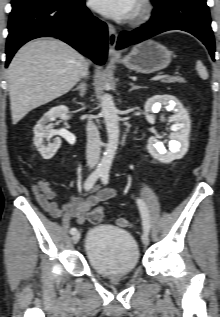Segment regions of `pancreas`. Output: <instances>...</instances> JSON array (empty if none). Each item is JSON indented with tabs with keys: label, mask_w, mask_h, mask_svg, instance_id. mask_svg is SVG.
<instances>
[{
	"label": "pancreas",
	"mask_w": 220,
	"mask_h": 317,
	"mask_svg": "<svg viewBox=\"0 0 220 317\" xmlns=\"http://www.w3.org/2000/svg\"><path fill=\"white\" fill-rule=\"evenodd\" d=\"M165 82H166V83H175V82L184 83L185 80H184V78H182V77L172 76V77H168V78L165 80Z\"/></svg>",
	"instance_id": "cf45deb5"
}]
</instances>
